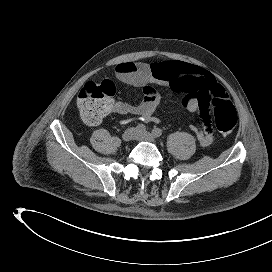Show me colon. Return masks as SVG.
Listing matches in <instances>:
<instances>
[{"label": "colon", "mask_w": 272, "mask_h": 272, "mask_svg": "<svg viewBox=\"0 0 272 272\" xmlns=\"http://www.w3.org/2000/svg\"><path fill=\"white\" fill-rule=\"evenodd\" d=\"M114 94L115 84L111 79L86 83L77 96V107L82 120L89 125L98 124L109 114ZM212 99L214 121L218 131L225 135L231 133L237 124L235 108L225 93H217Z\"/></svg>", "instance_id": "colon-1"}]
</instances>
